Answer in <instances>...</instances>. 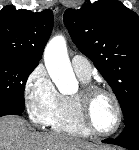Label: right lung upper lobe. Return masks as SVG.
Wrapping results in <instances>:
<instances>
[{
	"mask_svg": "<svg viewBox=\"0 0 139 150\" xmlns=\"http://www.w3.org/2000/svg\"><path fill=\"white\" fill-rule=\"evenodd\" d=\"M53 28V14L17 10L8 5L0 11V57L38 65Z\"/></svg>",
	"mask_w": 139,
	"mask_h": 150,
	"instance_id": "cb5924a9",
	"label": "right lung upper lobe"
}]
</instances>
